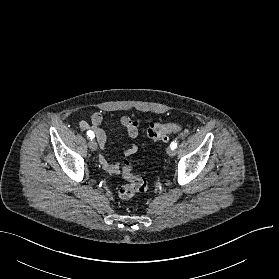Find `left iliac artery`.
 Masks as SVG:
<instances>
[{
	"label": "left iliac artery",
	"instance_id": "left-iliac-artery-1",
	"mask_svg": "<svg viewBox=\"0 0 279 279\" xmlns=\"http://www.w3.org/2000/svg\"><path fill=\"white\" fill-rule=\"evenodd\" d=\"M177 147V143L176 142H172L171 143V149H176Z\"/></svg>",
	"mask_w": 279,
	"mask_h": 279
}]
</instances>
